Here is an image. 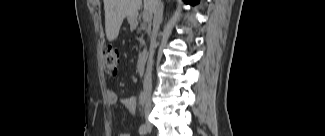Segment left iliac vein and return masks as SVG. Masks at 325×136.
Returning <instances> with one entry per match:
<instances>
[{
  "instance_id": "1",
  "label": "left iliac vein",
  "mask_w": 325,
  "mask_h": 136,
  "mask_svg": "<svg viewBox=\"0 0 325 136\" xmlns=\"http://www.w3.org/2000/svg\"><path fill=\"white\" fill-rule=\"evenodd\" d=\"M148 131H149V132L151 131V126H150V127H148Z\"/></svg>"
}]
</instances>
